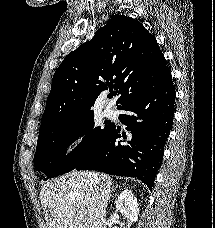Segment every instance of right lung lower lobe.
I'll list each match as a JSON object with an SVG mask.
<instances>
[{
	"instance_id": "right-lung-lower-lobe-1",
	"label": "right lung lower lobe",
	"mask_w": 215,
	"mask_h": 228,
	"mask_svg": "<svg viewBox=\"0 0 215 228\" xmlns=\"http://www.w3.org/2000/svg\"><path fill=\"white\" fill-rule=\"evenodd\" d=\"M175 95L171 75L138 83L118 108L128 112L119 119L131 133L130 141H116L121 134L113 125L109 136L74 169L136 177L151 189L172 129Z\"/></svg>"
}]
</instances>
